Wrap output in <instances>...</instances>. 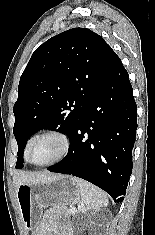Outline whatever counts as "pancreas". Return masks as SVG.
<instances>
[{
  "mask_svg": "<svg viewBox=\"0 0 155 235\" xmlns=\"http://www.w3.org/2000/svg\"><path fill=\"white\" fill-rule=\"evenodd\" d=\"M61 208L65 213L72 215L71 209L67 208V207H59Z\"/></svg>",
  "mask_w": 155,
  "mask_h": 235,
  "instance_id": "cf45deb5",
  "label": "pancreas"
}]
</instances>
